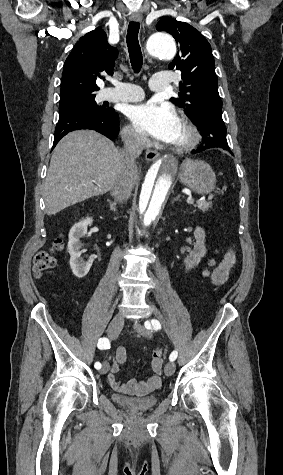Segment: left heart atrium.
Here are the masks:
<instances>
[{
  "instance_id": "1",
  "label": "left heart atrium",
  "mask_w": 283,
  "mask_h": 475,
  "mask_svg": "<svg viewBox=\"0 0 283 475\" xmlns=\"http://www.w3.org/2000/svg\"><path fill=\"white\" fill-rule=\"evenodd\" d=\"M128 118L137 131L154 139L172 143L178 135L179 118L167 103L148 101L132 106Z\"/></svg>"
}]
</instances>
